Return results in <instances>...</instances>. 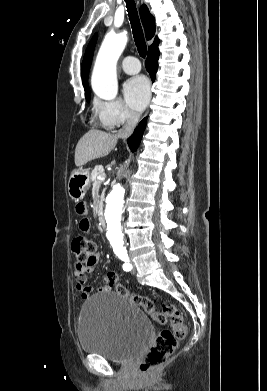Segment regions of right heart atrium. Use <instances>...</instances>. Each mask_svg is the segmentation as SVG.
Here are the masks:
<instances>
[{
  "instance_id": "obj_1",
  "label": "right heart atrium",
  "mask_w": 267,
  "mask_h": 391,
  "mask_svg": "<svg viewBox=\"0 0 267 391\" xmlns=\"http://www.w3.org/2000/svg\"><path fill=\"white\" fill-rule=\"evenodd\" d=\"M94 113L99 122L108 128H117L136 121L137 115L121 100H97Z\"/></svg>"
}]
</instances>
